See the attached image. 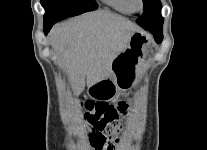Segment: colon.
I'll return each instance as SVG.
<instances>
[{
	"label": "colon",
	"mask_w": 207,
	"mask_h": 150,
	"mask_svg": "<svg viewBox=\"0 0 207 150\" xmlns=\"http://www.w3.org/2000/svg\"><path fill=\"white\" fill-rule=\"evenodd\" d=\"M81 105L84 108V119L91 131L94 149L114 150L123 134L119 116L126 111V102L113 106L106 102L86 101Z\"/></svg>",
	"instance_id": "5ec220e1"
}]
</instances>
